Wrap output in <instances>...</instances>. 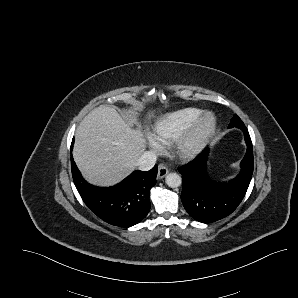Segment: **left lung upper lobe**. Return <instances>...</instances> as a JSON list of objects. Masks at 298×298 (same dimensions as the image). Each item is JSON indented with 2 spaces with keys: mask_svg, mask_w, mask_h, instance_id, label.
<instances>
[{
  "mask_svg": "<svg viewBox=\"0 0 298 298\" xmlns=\"http://www.w3.org/2000/svg\"><path fill=\"white\" fill-rule=\"evenodd\" d=\"M244 126V123L242 122V120L237 116V115H234V117L231 119V122H230V125H229V128H232V127H242Z\"/></svg>",
  "mask_w": 298,
  "mask_h": 298,
  "instance_id": "left-lung-upper-lobe-1",
  "label": "left lung upper lobe"
}]
</instances>
